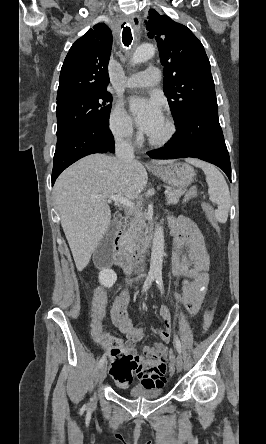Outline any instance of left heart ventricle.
<instances>
[{
    "instance_id": "left-heart-ventricle-1",
    "label": "left heart ventricle",
    "mask_w": 266,
    "mask_h": 444,
    "mask_svg": "<svg viewBox=\"0 0 266 444\" xmlns=\"http://www.w3.org/2000/svg\"><path fill=\"white\" fill-rule=\"evenodd\" d=\"M167 132V124L166 121L163 119V121L160 123V125L151 133L149 136L155 139L162 138Z\"/></svg>"
}]
</instances>
